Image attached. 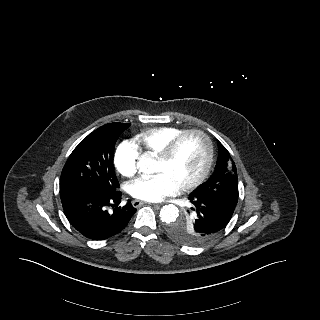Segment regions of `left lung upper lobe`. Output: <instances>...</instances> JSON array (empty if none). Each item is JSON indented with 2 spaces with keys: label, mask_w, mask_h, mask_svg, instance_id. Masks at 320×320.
I'll use <instances>...</instances> for the list:
<instances>
[{
  "label": "left lung upper lobe",
  "mask_w": 320,
  "mask_h": 320,
  "mask_svg": "<svg viewBox=\"0 0 320 320\" xmlns=\"http://www.w3.org/2000/svg\"><path fill=\"white\" fill-rule=\"evenodd\" d=\"M219 153L213 176L197 187L192 193L214 198L230 206L236 207L238 201L237 171L227 149L218 142ZM182 218H178L168 226L169 234L177 241L187 245L204 243L199 232V212L193 204Z\"/></svg>",
  "instance_id": "1"
}]
</instances>
